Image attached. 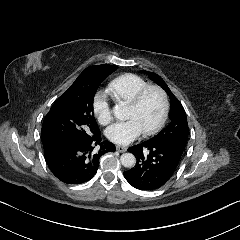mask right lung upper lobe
<instances>
[{"label": "right lung upper lobe", "instance_id": "cb5924a9", "mask_svg": "<svg viewBox=\"0 0 240 240\" xmlns=\"http://www.w3.org/2000/svg\"><path fill=\"white\" fill-rule=\"evenodd\" d=\"M114 67H117V66H114V65H95V66H90L88 68H100V69H113Z\"/></svg>", "mask_w": 240, "mask_h": 240}]
</instances>
